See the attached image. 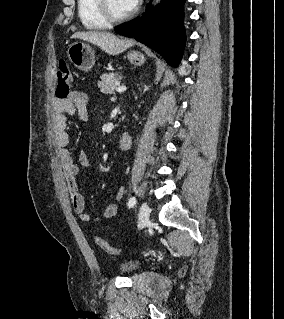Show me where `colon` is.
Listing matches in <instances>:
<instances>
[{
    "mask_svg": "<svg viewBox=\"0 0 284 319\" xmlns=\"http://www.w3.org/2000/svg\"><path fill=\"white\" fill-rule=\"evenodd\" d=\"M57 88L56 96L59 99H66L71 93L73 77L69 66L65 62H60L57 70ZM95 243L105 252L109 254H119L121 249L111 246L108 242L100 237H95Z\"/></svg>",
    "mask_w": 284,
    "mask_h": 319,
    "instance_id": "obj_1",
    "label": "colon"
}]
</instances>
